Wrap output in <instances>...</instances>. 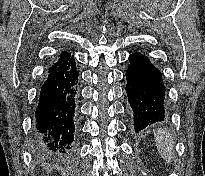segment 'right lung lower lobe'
I'll return each mask as SVG.
<instances>
[{"instance_id":"1","label":"right lung lower lobe","mask_w":205,"mask_h":176,"mask_svg":"<svg viewBox=\"0 0 205 176\" xmlns=\"http://www.w3.org/2000/svg\"><path fill=\"white\" fill-rule=\"evenodd\" d=\"M78 72L72 57L47 71L35 112L34 147L45 153L71 155L76 149Z\"/></svg>"}]
</instances>
